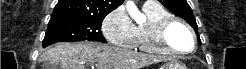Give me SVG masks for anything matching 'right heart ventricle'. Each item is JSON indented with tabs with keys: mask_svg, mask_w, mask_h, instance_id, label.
I'll return each instance as SVG.
<instances>
[{
	"mask_svg": "<svg viewBox=\"0 0 246 69\" xmlns=\"http://www.w3.org/2000/svg\"><path fill=\"white\" fill-rule=\"evenodd\" d=\"M143 13L146 17V21L134 27V39L131 48H136L140 51L155 55H164V50L149 41L147 33L148 30L155 26L160 20L172 16V14L159 4L146 2L143 5Z\"/></svg>",
	"mask_w": 246,
	"mask_h": 69,
	"instance_id": "right-heart-ventricle-1",
	"label": "right heart ventricle"
}]
</instances>
